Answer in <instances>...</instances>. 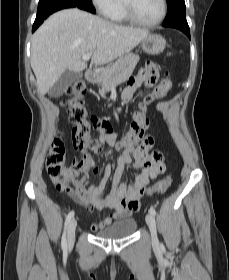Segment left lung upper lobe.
<instances>
[{"label": "left lung upper lobe", "instance_id": "1", "mask_svg": "<svg viewBox=\"0 0 229 280\" xmlns=\"http://www.w3.org/2000/svg\"><path fill=\"white\" fill-rule=\"evenodd\" d=\"M167 3V16L164 23L186 18V6L184 0H167Z\"/></svg>", "mask_w": 229, "mask_h": 280}]
</instances>
